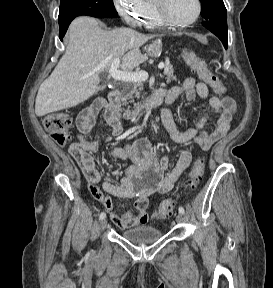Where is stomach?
<instances>
[{"label": "stomach", "mask_w": 273, "mask_h": 288, "mask_svg": "<svg viewBox=\"0 0 273 288\" xmlns=\"http://www.w3.org/2000/svg\"><path fill=\"white\" fill-rule=\"evenodd\" d=\"M162 50V41L160 38L152 41L147 47V53L151 57H158Z\"/></svg>", "instance_id": "1"}]
</instances>
